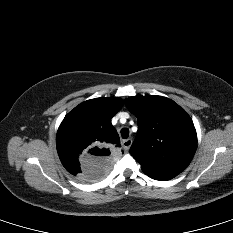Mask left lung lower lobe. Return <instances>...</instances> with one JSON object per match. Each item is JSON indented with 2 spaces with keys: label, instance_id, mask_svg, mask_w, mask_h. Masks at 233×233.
Instances as JSON below:
<instances>
[{
  "label": "left lung lower lobe",
  "instance_id": "1",
  "mask_svg": "<svg viewBox=\"0 0 233 233\" xmlns=\"http://www.w3.org/2000/svg\"><path fill=\"white\" fill-rule=\"evenodd\" d=\"M146 175H148L152 179L161 180V181L169 180V179L176 176V175H172V174H161V175H156V174L149 175V174H146Z\"/></svg>",
  "mask_w": 233,
  "mask_h": 233
}]
</instances>
